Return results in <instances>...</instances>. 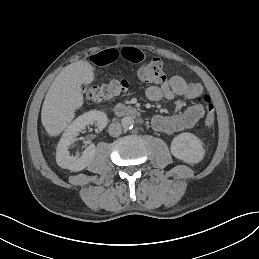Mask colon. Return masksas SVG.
<instances>
[{
    "label": "colon",
    "mask_w": 259,
    "mask_h": 259,
    "mask_svg": "<svg viewBox=\"0 0 259 259\" xmlns=\"http://www.w3.org/2000/svg\"><path fill=\"white\" fill-rule=\"evenodd\" d=\"M138 78L142 83L157 85L165 80L163 72V63L160 59L155 58L144 64L138 70ZM129 83L126 80H114L101 85L85 87L84 93L88 99L94 102H106L114 99L120 93L127 90ZM199 102L203 103L206 109L203 124L209 128L214 124L215 116L211 99L208 95H202Z\"/></svg>",
    "instance_id": "obj_1"
}]
</instances>
